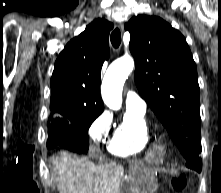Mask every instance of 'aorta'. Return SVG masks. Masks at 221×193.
<instances>
[{"instance_id": "obj_1", "label": "aorta", "mask_w": 221, "mask_h": 193, "mask_svg": "<svg viewBox=\"0 0 221 193\" xmlns=\"http://www.w3.org/2000/svg\"><path fill=\"white\" fill-rule=\"evenodd\" d=\"M133 68L134 60L130 56L121 57L109 66L102 81L101 94L110 109L121 108L123 85Z\"/></svg>"}]
</instances>
